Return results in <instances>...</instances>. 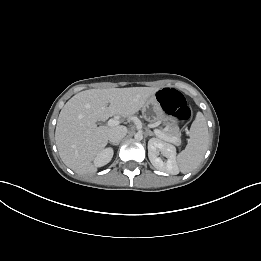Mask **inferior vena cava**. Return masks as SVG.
<instances>
[{
  "mask_svg": "<svg viewBox=\"0 0 261 261\" xmlns=\"http://www.w3.org/2000/svg\"><path fill=\"white\" fill-rule=\"evenodd\" d=\"M127 134V128L125 126H117L111 128L108 133V139L112 143H119L122 138Z\"/></svg>",
  "mask_w": 261,
  "mask_h": 261,
  "instance_id": "inferior-vena-cava-1",
  "label": "inferior vena cava"
}]
</instances>
